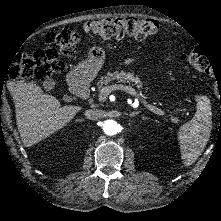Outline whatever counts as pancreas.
Listing matches in <instances>:
<instances>
[{"mask_svg": "<svg viewBox=\"0 0 221 221\" xmlns=\"http://www.w3.org/2000/svg\"><path fill=\"white\" fill-rule=\"evenodd\" d=\"M126 81V82H132V85L133 86H136L138 88H145L144 85H143V82L145 79L143 78H140V77H134V74L133 73H126L124 71H121V70H116V71H113V72H108L107 74H105L104 76L100 77V78H97L96 79V87L97 88H100L101 90H104V88L109 85L110 83L112 82H115V81ZM115 85H112L110 87H114ZM177 120V119H176Z\"/></svg>", "mask_w": 221, "mask_h": 221, "instance_id": "pancreas-1", "label": "pancreas"}]
</instances>
